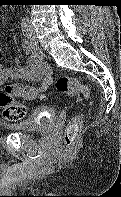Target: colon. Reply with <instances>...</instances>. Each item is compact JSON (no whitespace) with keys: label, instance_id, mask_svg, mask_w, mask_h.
I'll return each mask as SVG.
<instances>
[{"label":"colon","instance_id":"5ec220e1","mask_svg":"<svg viewBox=\"0 0 121 197\" xmlns=\"http://www.w3.org/2000/svg\"><path fill=\"white\" fill-rule=\"evenodd\" d=\"M56 89L63 94L70 97L77 96L81 93L84 101H88L90 98V92L86 85L76 78L70 76H61L56 80ZM34 95L33 90L28 86L20 84H9L5 87V90L0 92V108L2 109L3 116L8 121L21 120L26 115V107L16 101V98L31 99ZM44 99L45 96L41 95ZM81 130V122L79 119H73L68 125L64 141L67 146H70L75 141L78 133Z\"/></svg>","mask_w":121,"mask_h":197}]
</instances>
